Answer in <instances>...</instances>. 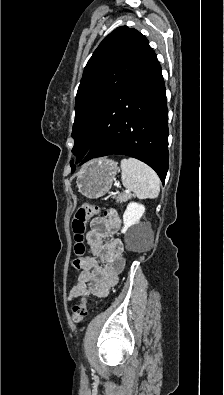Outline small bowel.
Segmentation results:
<instances>
[{"instance_id": "1", "label": "small bowel", "mask_w": 224, "mask_h": 395, "mask_svg": "<svg viewBox=\"0 0 224 395\" xmlns=\"http://www.w3.org/2000/svg\"><path fill=\"white\" fill-rule=\"evenodd\" d=\"M120 224L121 220L114 210H110L106 217H97L91 221L87 234L90 254L80 259L81 271L70 290L69 300L88 293L105 297L117 283L125 267L124 245L119 238L105 240V237L118 229Z\"/></svg>"}]
</instances>
